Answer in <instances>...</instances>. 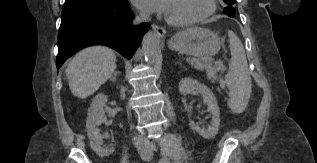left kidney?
<instances>
[{
  "instance_id": "left-kidney-1",
  "label": "left kidney",
  "mask_w": 317,
  "mask_h": 163,
  "mask_svg": "<svg viewBox=\"0 0 317 163\" xmlns=\"http://www.w3.org/2000/svg\"><path fill=\"white\" fill-rule=\"evenodd\" d=\"M179 91L182 95L198 92L201 94L203 102L208 107V112L212 115L211 125L207 129L199 127L193 121H189V126L205 139H212L218 133L220 125V109L212 91L206 86L199 83L197 80L185 77L179 83Z\"/></svg>"
}]
</instances>
